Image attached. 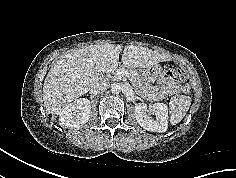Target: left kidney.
<instances>
[{
    "mask_svg": "<svg viewBox=\"0 0 236 178\" xmlns=\"http://www.w3.org/2000/svg\"><path fill=\"white\" fill-rule=\"evenodd\" d=\"M156 115V120L149 119L147 116V105L138 103L135 105V116L141 127L151 132H166L168 128V108L164 103H155L149 109Z\"/></svg>",
    "mask_w": 236,
    "mask_h": 178,
    "instance_id": "left-kidney-1",
    "label": "left kidney"
}]
</instances>
